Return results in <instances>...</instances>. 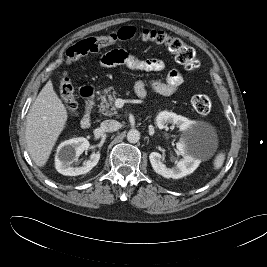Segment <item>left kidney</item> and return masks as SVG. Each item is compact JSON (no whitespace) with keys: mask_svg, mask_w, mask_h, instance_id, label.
<instances>
[{"mask_svg":"<svg viewBox=\"0 0 267 267\" xmlns=\"http://www.w3.org/2000/svg\"><path fill=\"white\" fill-rule=\"evenodd\" d=\"M156 123L159 129L166 128L167 124H175L181 131L184 132L191 129L194 125V123L187 118L168 111L160 112L156 118ZM188 144V141H182L181 143L177 144V149L181 151V153L184 155V158L178 161L176 166L173 168H168L161 161L162 156L160 153H150L149 160L153 170L165 178L174 179L182 178L193 173L198 167L200 160L194 158V156L190 153Z\"/></svg>","mask_w":267,"mask_h":267,"instance_id":"left-kidney-1","label":"left kidney"}]
</instances>
